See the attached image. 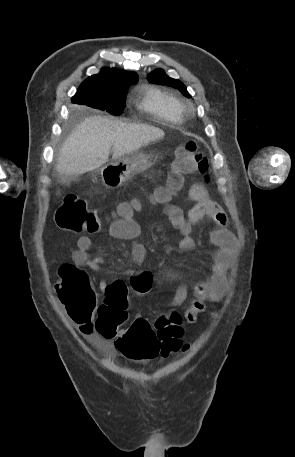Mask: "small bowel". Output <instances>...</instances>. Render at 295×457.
I'll use <instances>...</instances> for the list:
<instances>
[{
  "label": "small bowel",
  "instance_id": "obj_1",
  "mask_svg": "<svg viewBox=\"0 0 295 457\" xmlns=\"http://www.w3.org/2000/svg\"><path fill=\"white\" fill-rule=\"evenodd\" d=\"M189 197L195 202V205L186 213L182 208L166 202L163 212L170 220L172 226L181 235L179 247L182 250H192L195 246L191 236L194 226L204 217L211 218L217 228L210 233V243L215 247L212 253V264L210 267V277L201 281L194 287V300L183 315V325H193L197 322L199 316L206 311V302L219 300L226 290V272L230 261L232 250L236 240L234 234L228 227V216L222 207L213 201L206 188L199 184H193L189 189ZM109 235L114 239L131 240L138 237L141 233V227L132 217V214L121 216L113 220L108 228ZM92 240L89 236H81L77 241V249L72 254L74 263L78 266H87L93 271L100 270L104 258L97 256L90 259L88 251L91 248ZM147 256V250L141 243H133L131 249L132 261L142 265ZM118 283V282H116ZM106 281L99 283L101 291L109 288ZM188 297L186 286H179L171 299V306H180ZM72 319V318H71ZM79 332L86 338H100L94 328V322H82L72 319Z\"/></svg>",
  "mask_w": 295,
  "mask_h": 457
}]
</instances>
